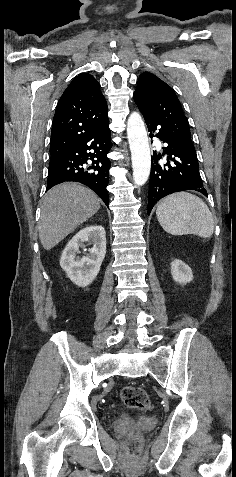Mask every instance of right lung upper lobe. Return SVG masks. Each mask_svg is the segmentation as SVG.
I'll return each mask as SVG.
<instances>
[{
	"mask_svg": "<svg viewBox=\"0 0 236 477\" xmlns=\"http://www.w3.org/2000/svg\"><path fill=\"white\" fill-rule=\"evenodd\" d=\"M107 103L97 80L78 75L62 94L53 118L51 158H56L108 122Z\"/></svg>",
	"mask_w": 236,
	"mask_h": 477,
	"instance_id": "cb5924a9",
	"label": "right lung upper lobe"
}]
</instances>
